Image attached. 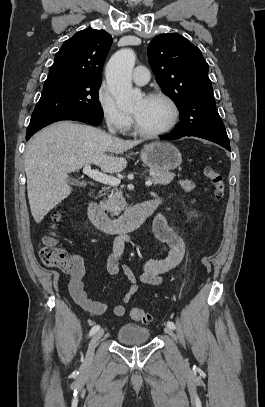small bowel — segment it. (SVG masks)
I'll list each match as a JSON object with an SVG mask.
<instances>
[{
  "instance_id": "1",
  "label": "small bowel",
  "mask_w": 265,
  "mask_h": 407,
  "mask_svg": "<svg viewBox=\"0 0 265 407\" xmlns=\"http://www.w3.org/2000/svg\"><path fill=\"white\" fill-rule=\"evenodd\" d=\"M178 184L186 192H190L194 189V183L189 179H181ZM153 233L158 240L168 245L169 250L160 258L145 261L141 274L136 275L130 268L120 265V257L123 251L120 242L117 243L115 249L107 258L106 266L109 274L113 276L124 275L131 282L130 288L122 298V303L115 305L113 308V312L117 317H121L125 314V305L136 293L139 282L150 285L160 284L162 275L177 267L183 259L185 252L184 241L161 214L156 215L154 218ZM85 271L83 258L79 255H75L74 267L70 271L68 284L70 295L76 304L88 313L102 315L107 311L108 304L87 296L83 283Z\"/></svg>"
}]
</instances>
